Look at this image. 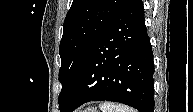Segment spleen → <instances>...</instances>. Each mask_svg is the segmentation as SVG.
Listing matches in <instances>:
<instances>
[{"instance_id": "1", "label": "spleen", "mask_w": 193, "mask_h": 112, "mask_svg": "<svg viewBox=\"0 0 193 112\" xmlns=\"http://www.w3.org/2000/svg\"><path fill=\"white\" fill-rule=\"evenodd\" d=\"M102 112H136L134 109L125 105H119L115 103H102L100 105Z\"/></svg>"}]
</instances>
